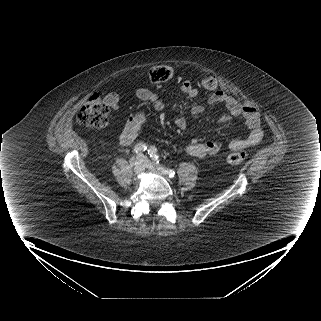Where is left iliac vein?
Returning a JSON list of instances; mask_svg holds the SVG:
<instances>
[{
    "label": "left iliac vein",
    "instance_id": "1",
    "mask_svg": "<svg viewBox=\"0 0 321 321\" xmlns=\"http://www.w3.org/2000/svg\"><path fill=\"white\" fill-rule=\"evenodd\" d=\"M141 158L143 159L144 161V164H145V167L148 169V170H151L157 174H160V175H166L165 172L159 168H155L154 165L145 159V157L143 155H141Z\"/></svg>",
    "mask_w": 321,
    "mask_h": 321
}]
</instances>
